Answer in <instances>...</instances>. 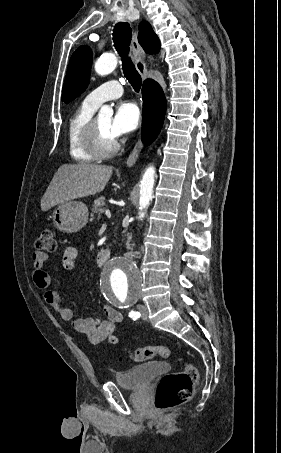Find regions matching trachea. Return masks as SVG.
<instances>
[{
  "instance_id": "trachea-1",
  "label": "trachea",
  "mask_w": 281,
  "mask_h": 453,
  "mask_svg": "<svg viewBox=\"0 0 281 453\" xmlns=\"http://www.w3.org/2000/svg\"><path fill=\"white\" fill-rule=\"evenodd\" d=\"M132 39V29L127 22H118L113 30V42L115 49L122 57L123 72L129 83L136 92L140 91L142 79L132 63L129 53V45Z\"/></svg>"
}]
</instances>
